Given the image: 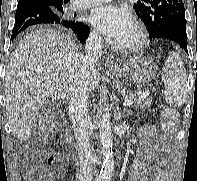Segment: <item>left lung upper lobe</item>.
Returning a JSON list of instances; mask_svg holds the SVG:
<instances>
[{
	"label": "left lung upper lobe",
	"instance_id": "1",
	"mask_svg": "<svg viewBox=\"0 0 197 181\" xmlns=\"http://www.w3.org/2000/svg\"><path fill=\"white\" fill-rule=\"evenodd\" d=\"M134 9L146 25L151 39L158 38L164 26L174 21H185L182 0H142L134 5Z\"/></svg>",
	"mask_w": 197,
	"mask_h": 181
}]
</instances>
